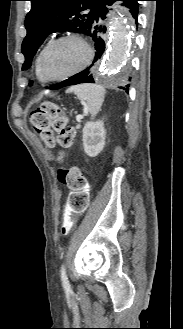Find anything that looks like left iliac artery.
I'll return each mask as SVG.
<instances>
[{
	"label": "left iliac artery",
	"instance_id": "left-iliac-artery-1",
	"mask_svg": "<svg viewBox=\"0 0 183 329\" xmlns=\"http://www.w3.org/2000/svg\"><path fill=\"white\" fill-rule=\"evenodd\" d=\"M61 280H62V285L65 289V291H71V285L69 283L67 274H66V268L64 265L61 266Z\"/></svg>",
	"mask_w": 183,
	"mask_h": 329
}]
</instances>
